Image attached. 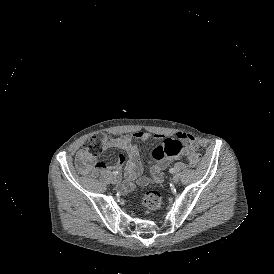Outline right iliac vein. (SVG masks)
Returning <instances> with one entry per match:
<instances>
[{"label": "right iliac vein", "instance_id": "right-iliac-vein-1", "mask_svg": "<svg viewBox=\"0 0 274 274\" xmlns=\"http://www.w3.org/2000/svg\"><path fill=\"white\" fill-rule=\"evenodd\" d=\"M111 181H112V183H113L114 185L117 184V182H118V180H117L116 177H113Z\"/></svg>", "mask_w": 274, "mask_h": 274}]
</instances>
